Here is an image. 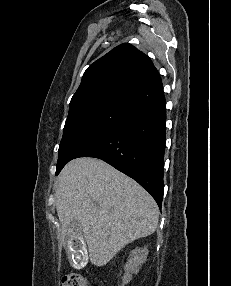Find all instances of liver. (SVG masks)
Masks as SVG:
<instances>
[{"mask_svg":"<svg viewBox=\"0 0 231 286\" xmlns=\"http://www.w3.org/2000/svg\"><path fill=\"white\" fill-rule=\"evenodd\" d=\"M55 205L62 237L81 225L89 258L106 265L128 243L154 233L159 208L136 181L96 158H77L61 171Z\"/></svg>","mask_w":231,"mask_h":286,"instance_id":"obj_1","label":"liver"}]
</instances>
